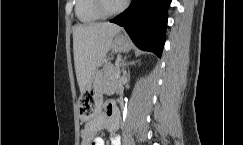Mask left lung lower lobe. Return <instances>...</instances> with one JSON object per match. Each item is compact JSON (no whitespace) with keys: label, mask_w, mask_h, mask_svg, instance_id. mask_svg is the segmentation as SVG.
<instances>
[{"label":"left lung lower lobe","mask_w":243,"mask_h":145,"mask_svg":"<svg viewBox=\"0 0 243 145\" xmlns=\"http://www.w3.org/2000/svg\"><path fill=\"white\" fill-rule=\"evenodd\" d=\"M170 3L171 0H132L128 9L110 22L123 26L137 47L161 57Z\"/></svg>","instance_id":"obj_1"}]
</instances>
